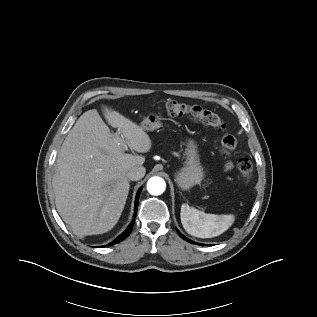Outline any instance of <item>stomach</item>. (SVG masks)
<instances>
[{
    "label": "stomach",
    "instance_id": "stomach-1",
    "mask_svg": "<svg viewBox=\"0 0 317 317\" xmlns=\"http://www.w3.org/2000/svg\"><path fill=\"white\" fill-rule=\"evenodd\" d=\"M144 131H153L161 127L160 116L152 111L141 123ZM204 176L200 162L198 145L194 139L186 140L185 161L183 167L175 174V182L179 189L188 191L200 184Z\"/></svg>",
    "mask_w": 317,
    "mask_h": 317
}]
</instances>
